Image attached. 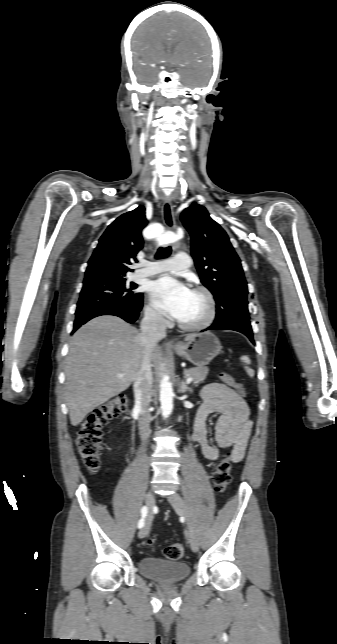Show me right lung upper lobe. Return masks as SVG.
I'll use <instances>...</instances> for the list:
<instances>
[{
	"label": "right lung upper lobe",
	"instance_id": "obj_1",
	"mask_svg": "<svg viewBox=\"0 0 337 644\" xmlns=\"http://www.w3.org/2000/svg\"><path fill=\"white\" fill-rule=\"evenodd\" d=\"M145 208L139 206L118 217L99 239L85 272L84 281L125 278L127 265L143 247L142 229L147 225Z\"/></svg>",
	"mask_w": 337,
	"mask_h": 644
}]
</instances>
